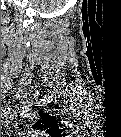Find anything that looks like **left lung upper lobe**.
Segmentation results:
<instances>
[{"instance_id": "left-lung-upper-lobe-1", "label": "left lung upper lobe", "mask_w": 121, "mask_h": 137, "mask_svg": "<svg viewBox=\"0 0 121 137\" xmlns=\"http://www.w3.org/2000/svg\"><path fill=\"white\" fill-rule=\"evenodd\" d=\"M40 113L41 120L33 125V128L44 130L48 133H54L58 130V124L54 117L48 115L47 113Z\"/></svg>"}]
</instances>
